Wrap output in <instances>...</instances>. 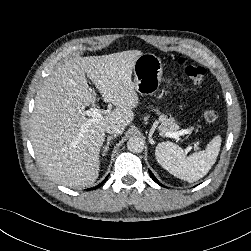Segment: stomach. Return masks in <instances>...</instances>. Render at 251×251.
Instances as JSON below:
<instances>
[{
	"label": "stomach",
	"instance_id": "0dacf381",
	"mask_svg": "<svg viewBox=\"0 0 251 251\" xmlns=\"http://www.w3.org/2000/svg\"><path fill=\"white\" fill-rule=\"evenodd\" d=\"M133 71V84L138 93L152 95L158 91L162 81V63L159 57L152 53L142 54L137 58ZM165 81L167 85H171L170 79Z\"/></svg>",
	"mask_w": 251,
	"mask_h": 251
}]
</instances>
